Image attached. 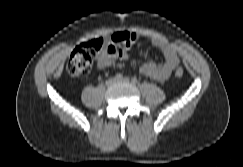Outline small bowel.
<instances>
[{"instance_id": "c3829d8e", "label": "small bowel", "mask_w": 243, "mask_h": 167, "mask_svg": "<svg viewBox=\"0 0 243 167\" xmlns=\"http://www.w3.org/2000/svg\"><path fill=\"white\" fill-rule=\"evenodd\" d=\"M138 35L131 31H116L105 39L104 46L97 56V67L105 69L116 60H127L132 46L137 42ZM152 44L157 47L164 56V62L157 64L153 61L146 62L141 67V73L145 76L163 82L167 80L179 64L176 50L167 42L152 39Z\"/></svg>"}]
</instances>
